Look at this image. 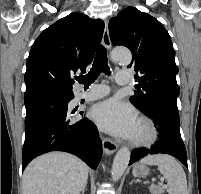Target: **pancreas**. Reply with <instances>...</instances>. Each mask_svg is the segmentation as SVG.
<instances>
[{"mask_svg":"<svg viewBox=\"0 0 201 194\" xmlns=\"http://www.w3.org/2000/svg\"><path fill=\"white\" fill-rule=\"evenodd\" d=\"M150 192H151V194H161L164 192V190L159 186L152 185L150 187Z\"/></svg>","mask_w":201,"mask_h":194,"instance_id":"1","label":"pancreas"}]
</instances>
